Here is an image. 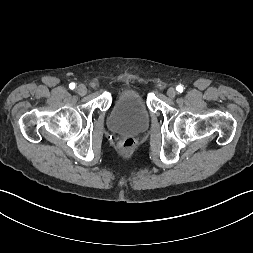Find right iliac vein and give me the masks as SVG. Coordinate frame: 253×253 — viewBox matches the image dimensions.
Wrapping results in <instances>:
<instances>
[{"label": "right iliac vein", "instance_id": "obj_1", "mask_svg": "<svg viewBox=\"0 0 253 253\" xmlns=\"http://www.w3.org/2000/svg\"><path fill=\"white\" fill-rule=\"evenodd\" d=\"M76 91L79 95L84 96L87 93V88L85 85L80 84L78 85V87L76 88Z\"/></svg>", "mask_w": 253, "mask_h": 253}]
</instances>
